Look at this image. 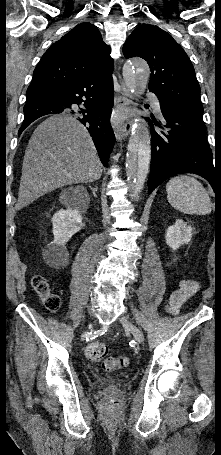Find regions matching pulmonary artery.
I'll return each mask as SVG.
<instances>
[{"label": "pulmonary artery", "instance_id": "pulmonary-artery-1", "mask_svg": "<svg viewBox=\"0 0 221 455\" xmlns=\"http://www.w3.org/2000/svg\"><path fill=\"white\" fill-rule=\"evenodd\" d=\"M153 100H154V101H153L154 109H155V111H156L158 114H160V111H161V110H160L159 102L157 101V99H153Z\"/></svg>", "mask_w": 221, "mask_h": 455}]
</instances>
